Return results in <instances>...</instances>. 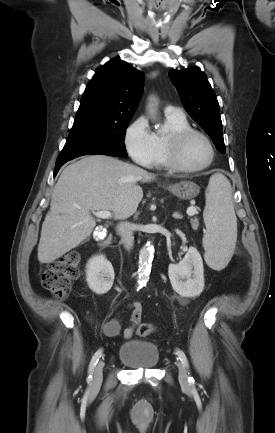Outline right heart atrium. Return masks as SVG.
<instances>
[{"label": "right heart atrium", "mask_w": 275, "mask_h": 433, "mask_svg": "<svg viewBox=\"0 0 275 433\" xmlns=\"http://www.w3.org/2000/svg\"><path fill=\"white\" fill-rule=\"evenodd\" d=\"M124 143L131 159L140 166L152 165L155 141L152 130L144 116L137 117L124 133Z\"/></svg>", "instance_id": "d8ad5b80"}]
</instances>
